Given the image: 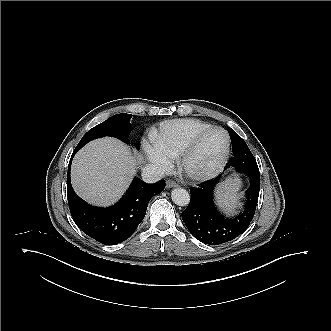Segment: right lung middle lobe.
Here are the masks:
<instances>
[{
  "mask_svg": "<svg viewBox=\"0 0 331 331\" xmlns=\"http://www.w3.org/2000/svg\"><path fill=\"white\" fill-rule=\"evenodd\" d=\"M131 117V114L124 113L110 117L106 121L89 130L82 137L76 148L79 150L89 141L104 136L116 137L122 141L127 142V136L131 131ZM135 146L138 148V143L135 144Z\"/></svg>",
  "mask_w": 331,
  "mask_h": 331,
  "instance_id": "1",
  "label": "right lung middle lobe"
}]
</instances>
